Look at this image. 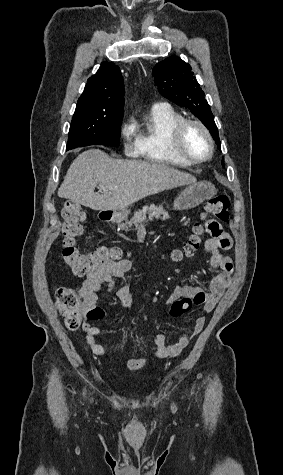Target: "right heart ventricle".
Listing matches in <instances>:
<instances>
[{"instance_id": "right-heart-ventricle-1", "label": "right heart ventricle", "mask_w": 283, "mask_h": 475, "mask_svg": "<svg viewBox=\"0 0 283 475\" xmlns=\"http://www.w3.org/2000/svg\"><path fill=\"white\" fill-rule=\"evenodd\" d=\"M181 113L168 104L153 105L147 117L134 126V133L139 142V157L151 162H165L160 145L170 143L169 130L183 120Z\"/></svg>"}]
</instances>
